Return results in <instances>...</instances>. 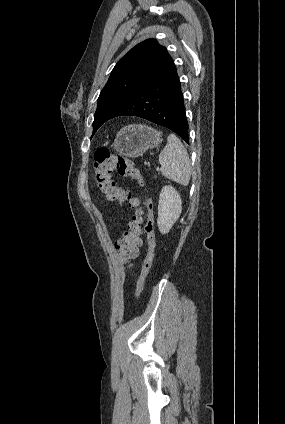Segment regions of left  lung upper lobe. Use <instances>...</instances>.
Returning a JSON list of instances; mask_svg holds the SVG:
<instances>
[{
  "label": "left lung upper lobe",
  "instance_id": "left-lung-upper-lobe-1",
  "mask_svg": "<svg viewBox=\"0 0 285 424\" xmlns=\"http://www.w3.org/2000/svg\"><path fill=\"white\" fill-rule=\"evenodd\" d=\"M170 60L155 39L137 44L122 57L99 95L92 136L117 107L155 80Z\"/></svg>",
  "mask_w": 285,
  "mask_h": 424
}]
</instances>
